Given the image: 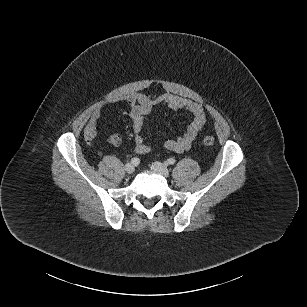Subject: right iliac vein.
<instances>
[{"label": "right iliac vein", "instance_id": "right-iliac-vein-1", "mask_svg": "<svg viewBox=\"0 0 307 307\" xmlns=\"http://www.w3.org/2000/svg\"><path fill=\"white\" fill-rule=\"evenodd\" d=\"M134 170H135V167H134L133 164L127 163V164L125 165V171H126L127 173L131 174V173L134 172Z\"/></svg>", "mask_w": 307, "mask_h": 307}]
</instances>
